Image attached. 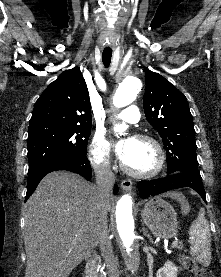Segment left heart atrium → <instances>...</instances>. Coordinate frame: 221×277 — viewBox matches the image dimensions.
<instances>
[{
    "mask_svg": "<svg viewBox=\"0 0 221 277\" xmlns=\"http://www.w3.org/2000/svg\"><path fill=\"white\" fill-rule=\"evenodd\" d=\"M129 142V140L120 141L115 145V151L121 159H124L128 152Z\"/></svg>",
    "mask_w": 221,
    "mask_h": 277,
    "instance_id": "1",
    "label": "left heart atrium"
}]
</instances>
